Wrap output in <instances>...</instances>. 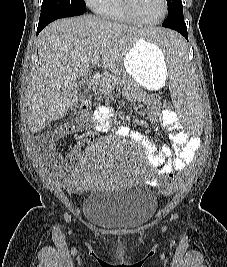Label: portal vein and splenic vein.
<instances>
[{"label":"portal vein and splenic vein","instance_id":"1","mask_svg":"<svg viewBox=\"0 0 227 267\" xmlns=\"http://www.w3.org/2000/svg\"><path fill=\"white\" fill-rule=\"evenodd\" d=\"M98 63H99V60H98V59H95V60L92 61L91 64H92V65H97Z\"/></svg>","mask_w":227,"mask_h":267}]
</instances>
